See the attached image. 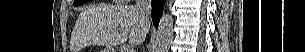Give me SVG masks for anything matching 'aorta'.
Masks as SVG:
<instances>
[{"mask_svg": "<svg viewBox=\"0 0 305 52\" xmlns=\"http://www.w3.org/2000/svg\"><path fill=\"white\" fill-rule=\"evenodd\" d=\"M172 37L173 18L170 14L164 13L156 31L153 52H168Z\"/></svg>", "mask_w": 305, "mask_h": 52, "instance_id": "762f6f07", "label": "aorta"}]
</instances>
